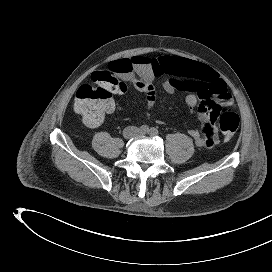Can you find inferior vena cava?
<instances>
[{"instance_id":"inferior-vena-cava-1","label":"inferior vena cava","mask_w":272,"mask_h":272,"mask_svg":"<svg viewBox=\"0 0 272 272\" xmlns=\"http://www.w3.org/2000/svg\"><path fill=\"white\" fill-rule=\"evenodd\" d=\"M137 131H138V128H137V127L129 126V127L125 128L124 134H128V133H130V132H137Z\"/></svg>"}]
</instances>
